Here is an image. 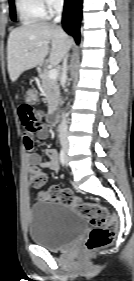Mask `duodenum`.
<instances>
[{
    "label": "duodenum",
    "instance_id": "410a0bca",
    "mask_svg": "<svg viewBox=\"0 0 134 281\" xmlns=\"http://www.w3.org/2000/svg\"><path fill=\"white\" fill-rule=\"evenodd\" d=\"M48 122L51 125H55L58 122V113L56 108H52L48 115Z\"/></svg>",
    "mask_w": 134,
    "mask_h": 281
}]
</instances>
